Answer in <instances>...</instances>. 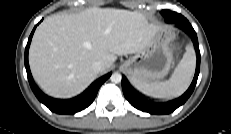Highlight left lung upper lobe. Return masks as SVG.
Listing matches in <instances>:
<instances>
[{
  "mask_svg": "<svg viewBox=\"0 0 231 134\" xmlns=\"http://www.w3.org/2000/svg\"><path fill=\"white\" fill-rule=\"evenodd\" d=\"M162 14L164 15V17L166 18V20L169 18L170 15H173L172 11L169 10H163Z\"/></svg>",
  "mask_w": 231,
  "mask_h": 134,
  "instance_id": "obj_1",
  "label": "left lung upper lobe"
}]
</instances>
